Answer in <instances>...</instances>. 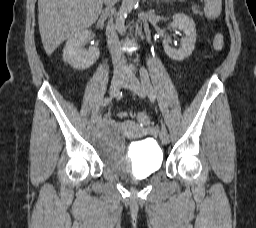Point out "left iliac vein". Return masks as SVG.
Wrapping results in <instances>:
<instances>
[{"label": "left iliac vein", "mask_w": 256, "mask_h": 228, "mask_svg": "<svg viewBox=\"0 0 256 228\" xmlns=\"http://www.w3.org/2000/svg\"><path fill=\"white\" fill-rule=\"evenodd\" d=\"M123 86L125 88L130 89L133 91L135 94H137L139 97H144L145 96V90L143 86L141 85L140 81L136 76H134L131 73H128L127 76L125 77V81ZM159 137L164 144H168L170 141V136L165 127H162L160 132H159Z\"/></svg>", "instance_id": "obj_1"}]
</instances>
